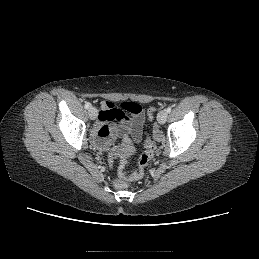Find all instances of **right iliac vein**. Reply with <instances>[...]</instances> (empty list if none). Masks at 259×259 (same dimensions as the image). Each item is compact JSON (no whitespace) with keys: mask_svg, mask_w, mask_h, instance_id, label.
<instances>
[{"mask_svg":"<svg viewBox=\"0 0 259 259\" xmlns=\"http://www.w3.org/2000/svg\"><path fill=\"white\" fill-rule=\"evenodd\" d=\"M88 113H89L90 119H92V120L96 119V117H97V109L96 108L90 107L89 110H88Z\"/></svg>","mask_w":259,"mask_h":259,"instance_id":"obj_1","label":"right iliac vein"}]
</instances>
